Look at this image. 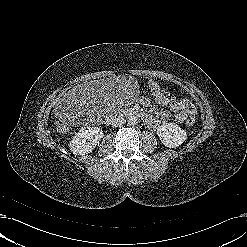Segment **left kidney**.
Here are the masks:
<instances>
[{"label":"left kidney","instance_id":"1","mask_svg":"<svg viewBox=\"0 0 247 247\" xmlns=\"http://www.w3.org/2000/svg\"><path fill=\"white\" fill-rule=\"evenodd\" d=\"M157 134L164 146L169 148H177L186 139L185 130L175 123H164L157 129Z\"/></svg>","mask_w":247,"mask_h":247}]
</instances>
